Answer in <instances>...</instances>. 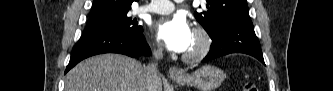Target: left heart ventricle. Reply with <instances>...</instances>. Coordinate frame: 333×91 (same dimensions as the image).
<instances>
[{"label":"left heart ventricle","mask_w":333,"mask_h":91,"mask_svg":"<svg viewBox=\"0 0 333 91\" xmlns=\"http://www.w3.org/2000/svg\"><path fill=\"white\" fill-rule=\"evenodd\" d=\"M198 45V39L196 38V36L193 34V37H192V40H191V43L187 49L186 52H191L193 51Z\"/></svg>","instance_id":"b2bd125f"}]
</instances>
